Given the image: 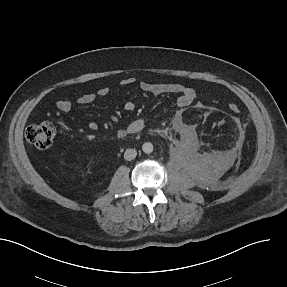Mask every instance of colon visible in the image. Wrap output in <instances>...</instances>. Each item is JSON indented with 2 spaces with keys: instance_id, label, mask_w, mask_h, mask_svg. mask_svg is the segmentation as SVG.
Segmentation results:
<instances>
[{
  "instance_id": "1",
  "label": "colon",
  "mask_w": 287,
  "mask_h": 287,
  "mask_svg": "<svg viewBox=\"0 0 287 287\" xmlns=\"http://www.w3.org/2000/svg\"><path fill=\"white\" fill-rule=\"evenodd\" d=\"M229 110L239 113L241 108L237 103H230ZM54 135V126L47 121L32 124L26 130L27 141L40 150L48 149L52 145Z\"/></svg>"
}]
</instances>
